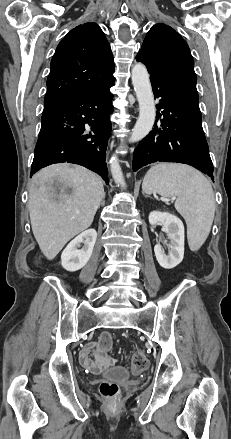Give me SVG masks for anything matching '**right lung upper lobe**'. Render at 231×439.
<instances>
[{
  "mask_svg": "<svg viewBox=\"0 0 231 439\" xmlns=\"http://www.w3.org/2000/svg\"><path fill=\"white\" fill-rule=\"evenodd\" d=\"M113 72L111 48L101 28L93 22L75 27L51 60L43 113L108 84Z\"/></svg>",
  "mask_w": 231,
  "mask_h": 439,
  "instance_id": "obj_1",
  "label": "right lung upper lobe"
}]
</instances>
